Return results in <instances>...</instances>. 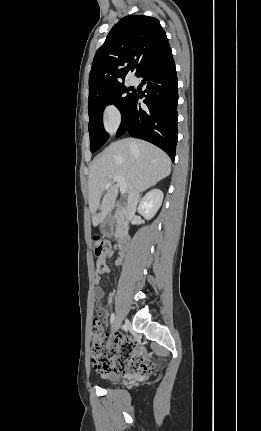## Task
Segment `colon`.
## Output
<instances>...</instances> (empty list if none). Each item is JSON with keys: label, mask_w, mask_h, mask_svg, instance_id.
Returning a JSON list of instances; mask_svg holds the SVG:
<instances>
[{"label": "colon", "mask_w": 261, "mask_h": 431, "mask_svg": "<svg viewBox=\"0 0 261 431\" xmlns=\"http://www.w3.org/2000/svg\"><path fill=\"white\" fill-rule=\"evenodd\" d=\"M92 243L95 258L100 261L110 251L111 245L99 236H95ZM92 334L91 357L98 372L142 376L152 373L154 364L137 355L134 343L130 338L122 335L110 336L104 333L101 318L94 320Z\"/></svg>", "instance_id": "obj_1"}]
</instances>
